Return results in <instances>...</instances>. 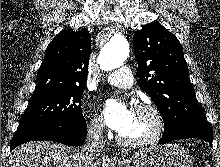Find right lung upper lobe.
Returning a JSON list of instances; mask_svg holds the SVG:
<instances>
[{
  "label": "right lung upper lobe",
  "mask_w": 220,
  "mask_h": 167,
  "mask_svg": "<svg viewBox=\"0 0 220 167\" xmlns=\"http://www.w3.org/2000/svg\"><path fill=\"white\" fill-rule=\"evenodd\" d=\"M90 52L91 39L86 29L62 30L47 47L31 98L85 86Z\"/></svg>",
  "instance_id": "right-lung-upper-lobe-1"
}]
</instances>
